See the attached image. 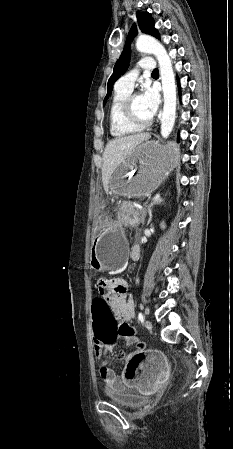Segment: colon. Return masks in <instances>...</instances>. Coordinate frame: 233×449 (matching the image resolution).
Returning <instances> with one entry per match:
<instances>
[{"label": "colon", "mask_w": 233, "mask_h": 449, "mask_svg": "<svg viewBox=\"0 0 233 449\" xmlns=\"http://www.w3.org/2000/svg\"><path fill=\"white\" fill-rule=\"evenodd\" d=\"M98 280V279H97ZM90 317H91V333L95 335V342L97 349H108L109 343H117L119 331L115 325L113 314L109 310L108 301H91L90 302ZM138 350L128 356V361L125 366L124 376L137 375L138 368L144 367V361L147 352L144 350V345L139 343Z\"/></svg>", "instance_id": "1"}]
</instances>
